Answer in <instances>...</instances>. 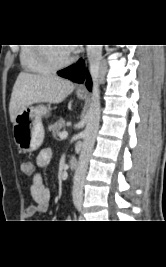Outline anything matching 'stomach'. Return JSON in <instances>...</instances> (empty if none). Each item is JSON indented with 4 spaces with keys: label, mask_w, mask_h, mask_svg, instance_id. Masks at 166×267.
Returning a JSON list of instances; mask_svg holds the SVG:
<instances>
[{
    "label": "stomach",
    "mask_w": 166,
    "mask_h": 267,
    "mask_svg": "<svg viewBox=\"0 0 166 267\" xmlns=\"http://www.w3.org/2000/svg\"><path fill=\"white\" fill-rule=\"evenodd\" d=\"M84 98L83 93H77ZM49 114V108L44 105L30 106L20 111L13 123V136L18 148L23 152L37 150L44 140L42 117Z\"/></svg>",
    "instance_id": "1"
}]
</instances>
